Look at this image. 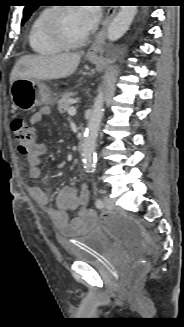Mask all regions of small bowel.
<instances>
[{"instance_id":"small-bowel-1","label":"small bowel","mask_w":184,"mask_h":327,"mask_svg":"<svg viewBox=\"0 0 184 327\" xmlns=\"http://www.w3.org/2000/svg\"><path fill=\"white\" fill-rule=\"evenodd\" d=\"M49 108L43 107L30 117V124L36 125L48 115ZM48 147L43 140H39L27 154L29 174L38 179L42 175V156ZM30 194L37 204L44 208L53 223L67 236H77L86 233L96 225V214L88 206L89 188L83 184L78 193L73 186H64L60 189L55 206L49 207L48 193L38 186H30Z\"/></svg>"}]
</instances>
